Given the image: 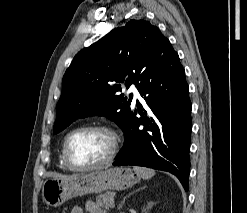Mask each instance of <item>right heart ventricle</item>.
Instances as JSON below:
<instances>
[{
    "label": "right heart ventricle",
    "instance_id": "right-heart-ventricle-1",
    "mask_svg": "<svg viewBox=\"0 0 247 213\" xmlns=\"http://www.w3.org/2000/svg\"><path fill=\"white\" fill-rule=\"evenodd\" d=\"M59 164H60V167L64 170H71L64 162V159H63V154H62V148L60 150V155H59Z\"/></svg>",
    "mask_w": 247,
    "mask_h": 213
}]
</instances>
